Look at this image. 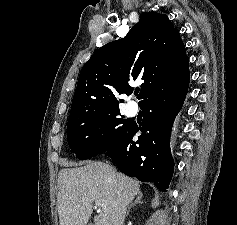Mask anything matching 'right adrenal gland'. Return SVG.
<instances>
[{
  "label": "right adrenal gland",
  "instance_id": "right-adrenal-gland-1",
  "mask_svg": "<svg viewBox=\"0 0 237 225\" xmlns=\"http://www.w3.org/2000/svg\"><path fill=\"white\" fill-rule=\"evenodd\" d=\"M142 199V193H139L135 199V201L133 203L130 204V206L128 207V210H127V215L129 214L131 208L133 206H135L136 204H142L143 202L141 201Z\"/></svg>",
  "mask_w": 237,
  "mask_h": 225
}]
</instances>
